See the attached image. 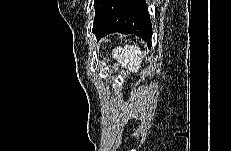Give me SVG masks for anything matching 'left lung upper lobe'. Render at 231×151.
I'll return each instance as SVG.
<instances>
[{"instance_id":"5c2ea615","label":"left lung upper lobe","mask_w":231,"mask_h":151,"mask_svg":"<svg viewBox=\"0 0 231 151\" xmlns=\"http://www.w3.org/2000/svg\"><path fill=\"white\" fill-rule=\"evenodd\" d=\"M109 1L110 0H95L94 1L95 18H94L93 28H95L97 24L99 23Z\"/></svg>"}]
</instances>
